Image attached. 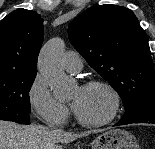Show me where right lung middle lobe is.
Instances as JSON below:
<instances>
[{"instance_id": "dd1d6c3e", "label": "right lung middle lobe", "mask_w": 155, "mask_h": 149, "mask_svg": "<svg viewBox=\"0 0 155 149\" xmlns=\"http://www.w3.org/2000/svg\"><path fill=\"white\" fill-rule=\"evenodd\" d=\"M37 72L0 73V120L30 123L29 91Z\"/></svg>"}]
</instances>
